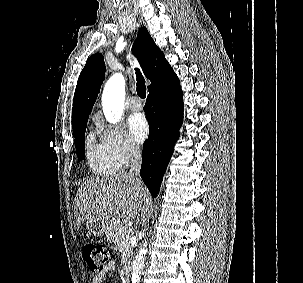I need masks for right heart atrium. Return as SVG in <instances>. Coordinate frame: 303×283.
I'll return each mask as SVG.
<instances>
[{
	"label": "right heart atrium",
	"instance_id": "1",
	"mask_svg": "<svg viewBox=\"0 0 303 283\" xmlns=\"http://www.w3.org/2000/svg\"><path fill=\"white\" fill-rule=\"evenodd\" d=\"M101 143L111 158L120 166L127 165L141 153L140 146L119 125L99 124Z\"/></svg>",
	"mask_w": 303,
	"mask_h": 283
}]
</instances>
